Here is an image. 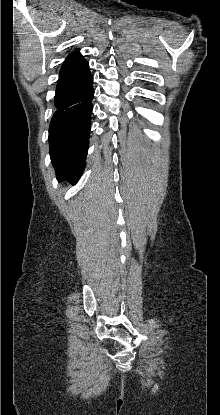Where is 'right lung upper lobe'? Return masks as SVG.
Here are the masks:
<instances>
[{
	"label": "right lung upper lobe",
	"instance_id": "1",
	"mask_svg": "<svg viewBox=\"0 0 220 415\" xmlns=\"http://www.w3.org/2000/svg\"><path fill=\"white\" fill-rule=\"evenodd\" d=\"M84 58L79 52H73L71 53L66 60L64 61L61 70L71 67L75 64H78L79 62L83 61Z\"/></svg>",
	"mask_w": 220,
	"mask_h": 415
}]
</instances>
